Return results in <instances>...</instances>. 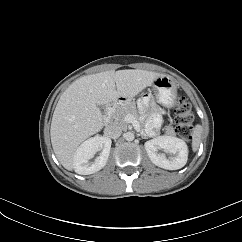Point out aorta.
Listing matches in <instances>:
<instances>
[{"label": "aorta", "instance_id": "762f6f07", "mask_svg": "<svg viewBox=\"0 0 242 242\" xmlns=\"http://www.w3.org/2000/svg\"><path fill=\"white\" fill-rule=\"evenodd\" d=\"M124 138L127 140V141H133L135 136H134V133L132 132H126L124 134Z\"/></svg>", "mask_w": 242, "mask_h": 242}]
</instances>
